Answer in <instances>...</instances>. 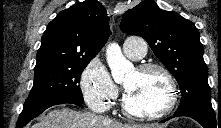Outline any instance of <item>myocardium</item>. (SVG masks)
<instances>
[{
	"instance_id": "myocardium-1",
	"label": "myocardium",
	"mask_w": 221,
	"mask_h": 128,
	"mask_svg": "<svg viewBox=\"0 0 221 128\" xmlns=\"http://www.w3.org/2000/svg\"><path fill=\"white\" fill-rule=\"evenodd\" d=\"M138 73H145L148 71H156L162 75L167 85V98L161 107H158L154 110L148 111H133L127 104L125 99V94L121 98V107L123 113L132 119L137 120H148V119H157L163 116L168 115L175 106L177 100V86L176 81L170 72V70L164 65L158 63H143L139 65L136 69Z\"/></svg>"
}]
</instances>
